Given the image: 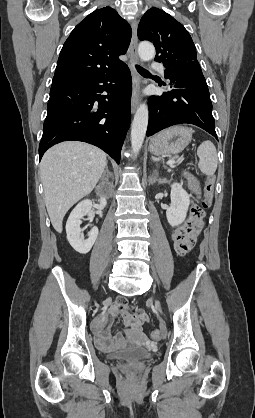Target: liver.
I'll return each mask as SVG.
<instances>
[{"instance_id": "6515ba94", "label": "liver", "mask_w": 255, "mask_h": 418, "mask_svg": "<svg viewBox=\"0 0 255 418\" xmlns=\"http://www.w3.org/2000/svg\"><path fill=\"white\" fill-rule=\"evenodd\" d=\"M106 153L78 141L50 148L40 163L47 212L54 229L62 232L67 211L90 194L107 165Z\"/></svg>"}]
</instances>
